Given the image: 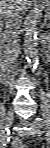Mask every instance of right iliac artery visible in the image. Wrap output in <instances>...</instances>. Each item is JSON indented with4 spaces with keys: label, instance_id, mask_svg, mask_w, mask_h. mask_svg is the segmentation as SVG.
<instances>
[{
    "label": "right iliac artery",
    "instance_id": "obj_1",
    "mask_svg": "<svg viewBox=\"0 0 50 148\" xmlns=\"http://www.w3.org/2000/svg\"><path fill=\"white\" fill-rule=\"evenodd\" d=\"M6 131H7V135H8V134L10 133L9 130H8V128L6 129ZM6 137H7V136H6ZM6 137H5V140H6ZM5 140H4V141H1V146H4V145H5V143H4ZM7 140H8V139H7Z\"/></svg>",
    "mask_w": 50,
    "mask_h": 148
}]
</instances>
